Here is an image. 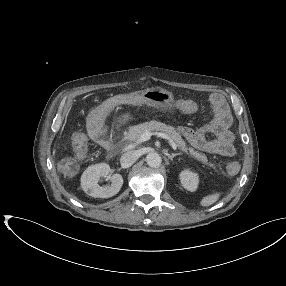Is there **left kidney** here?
Here are the masks:
<instances>
[{"mask_svg":"<svg viewBox=\"0 0 286 286\" xmlns=\"http://www.w3.org/2000/svg\"><path fill=\"white\" fill-rule=\"evenodd\" d=\"M180 180L182 186L188 191H195L198 187L199 179L196 173L191 172L190 170H184L180 174Z\"/></svg>","mask_w":286,"mask_h":286,"instance_id":"left-kidney-1","label":"left kidney"}]
</instances>
